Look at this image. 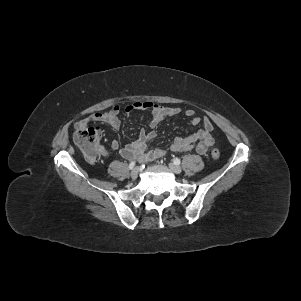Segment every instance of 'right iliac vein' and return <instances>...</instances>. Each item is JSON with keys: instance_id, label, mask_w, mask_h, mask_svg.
I'll return each mask as SVG.
<instances>
[{"instance_id": "1", "label": "right iliac vein", "mask_w": 301, "mask_h": 301, "mask_svg": "<svg viewBox=\"0 0 301 301\" xmlns=\"http://www.w3.org/2000/svg\"><path fill=\"white\" fill-rule=\"evenodd\" d=\"M139 174V168L135 167L132 171H131V178L132 179H136L138 177Z\"/></svg>"}]
</instances>
